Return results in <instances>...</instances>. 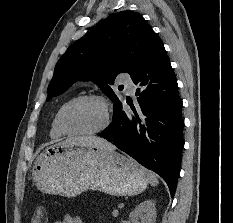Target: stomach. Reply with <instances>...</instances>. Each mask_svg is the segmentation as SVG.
<instances>
[{"label":"stomach","mask_w":233,"mask_h":223,"mask_svg":"<svg viewBox=\"0 0 233 223\" xmlns=\"http://www.w3.org/2000/svg\"><path fill=\"white\" fill-rule=\"evenodd\" d=\"M31 175L42 193L64 197H76L89 189L137 195L149 183L145 169L131 157L69 141L47 145L37 155Z\"/></svg>","instance_id":"1"}]
</instances>
